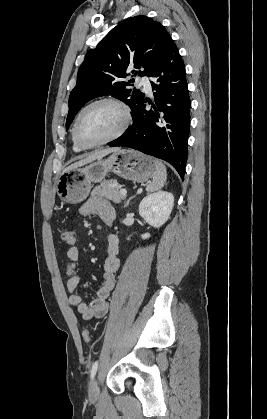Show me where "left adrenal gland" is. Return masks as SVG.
Here are the masks:
<instances>
[{"label": "left adrenal gland", "mask_w": 267, "mask_h": 419, "mask_svg": "<svg viewBox=\"0 0 267 419\" xmlns=\"http://www.w3.org/2000/svg\"><path fill=\"white\" fill-rule=\"evenodd\" d=\"M131 199H133V197H130V198L126 201V203H125L124 207H127V206H128V204H129V202L131 201Z\"/></svg>", "instance_id": "obj_1"}]
</instances>
